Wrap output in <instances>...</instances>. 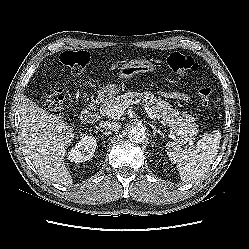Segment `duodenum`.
Returning <instances> with one entry per match:
<instances>
[{"label": "duodenum", "mask_w": 249, "mask_h": 249, "mask_svg": "<svg viewBox=\"0 0 249 249\" xmlns=\"http://www.w3.org/2000/svg\"><path fill=\"white\" fill-rule=\"evenodd\" d=\"M102 100H93L81 113V117L85 122H94L99 118L102 108Z\"/></svg>", "instance_id": "410a0bca"}]
</instances>
